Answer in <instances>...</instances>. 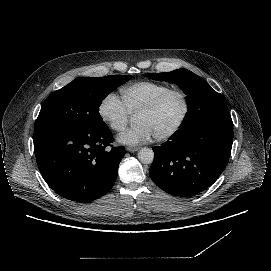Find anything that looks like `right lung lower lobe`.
<instances>
[{
	"mask_svg": "<svg viewBox=\"0 0 271 271\" xmlns=\"http://www.w3.org/2000/svg\"><path fill=\"white\" fill-rule=\"evenodd\" d=\"M34 152L47 184L60 196L86 203L114 185L125 148H107L113 141L108 126L83 127L50 123L35 128Z\"/></svg>",
	"mask_w": 271,
	"mask_h": 271,
	"instance_id": "1",
	"label": "right lung lower lobe"
}]
</instances>
